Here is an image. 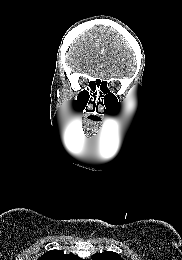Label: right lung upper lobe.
<instances>
[{
  "label": "right lung upper lobe",
  "instance_id": "obj_1",
  "mask_svg": "<svg viewBox=\"0 0 182 260\" xmlns=\"http://www.w3.org/2000/svg\"><path fill=\"white\" fill-rule=\"evenodd\" d=\"M38 260H83L74 254H64L62 250H51L42 255Z\"/></svg>",
  "mask_w": 182,
  "mask_h": 260
}]
</instances>
